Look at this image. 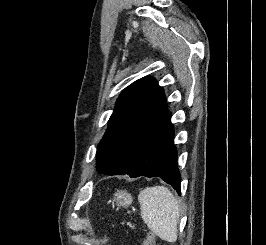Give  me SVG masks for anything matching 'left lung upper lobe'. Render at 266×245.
I'll return each mask as SVG.
<instances>
[{"label": "left lung upper lobe", "instance_id": "1", "mask_svg": "<svg viewBox=\"0 0 266 245\" xmlns=\"http://www.w3.org/2000/svg\"><path fill=\"white\" fill-rule=\"evenodd\" d=\"M168 112L163 89L150 76L121 93L96 152L100 173L123 175L132 165L142 138Z\"/></svg>", "mask_w": 266, "mask_h": 245}]
</instances>
